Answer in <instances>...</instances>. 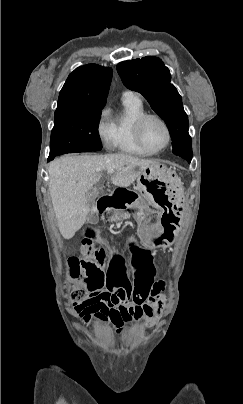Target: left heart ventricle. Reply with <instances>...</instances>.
<instances>
[{
	"label": "left heart ventricle",
	"instance_id": "1",
	"mask_svg": "<svg viewBox=\"0 0 243 404\" xmlns=\"http://www.w3.org/2000/svg\"><path fill=\"white\" fill-rule=\"evenodd\" d=\"M142 136L145 142L154 149L164 147L168 140L167 130L157 118H150L144 123Z\"/></svg>",
	"mask_w": 243,
	"mask_h": 404
}]
</instances>
